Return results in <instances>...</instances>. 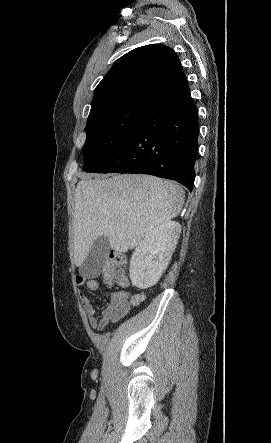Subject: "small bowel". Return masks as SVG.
<instances>
[{"label":"small bowel","mask_w":271,"mask_h":443,"mask_svg":"<svg viewBox=\"0 0 271 443\" xmlns=\"http://www.w3.org/2000/svg\"><path fill=\"white\" fill-rule=\"evenodd\" d=\"M76 283L81 288H87L91 291H99L100 283L96 279L83 276L76 277ZM109 296V304L99 316H96V310L89 297L82 291H79V298L88 317L91 327L101 331L107 324L115 323L128 315L132 307L139 306L144 296L141 294L132 296L127 290L117 291Z\"/></svg>","instance_id":"1"}]
</instances>
